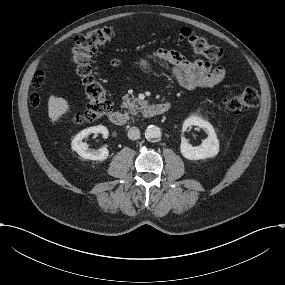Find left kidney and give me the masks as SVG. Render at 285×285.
Returning a JSON list of instances; mask_svg holds the SVG:
<instances>
[{
	"label": "left kidney",
	"instance_id": "obj_1",
	"mask_svg": "<svg viewBox=\"0 0 285 285\" xmlns=\"http://www.w3.org/2000/svg\"><path fill=\"white\" fill-rule=\"evenodd\" d=\"M194 125L203 129L208 136L199 146H192L187 140H182L180 145L182 156L190 161L215 158L219 153V142L212 125L204 120H195Z\"/></svg>",
	"mask_w": 285,
	"mask_h": 285
}]
</instances>
